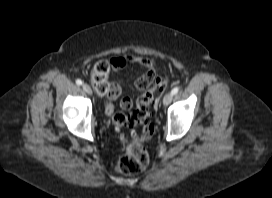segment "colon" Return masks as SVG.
<instances>
[{
	"mask_svg": "<svg viewBox=\"0 0 272 198\" xmlns=\"http://www.w3.org/2000/svg\"><path fill=\"white\" fill-rule=\"evenodd\" d=\"M113 69L112 63L100 61L95 64L91 72V83L101 95L111 93L113 83L109 81V75ZM141 89L162 91L166 87L164 80L160 78H145L137 82ZM153 93L142 96L129 114L117 113L113 116L112 124L115 129L124 126L134 127L142 125V134L136 138L120 136L124 147V155L119 159L116 169L119 173L133 175L144 170L149 162V156L142 142L150 139L154 133V125L149 120L150 107L153 103Z\"/></svg>",
	"mask_w": 272,
	"mask_h": 198,
	"instance_id": "obj_1",
	"label": "colon"
}]
</instances>
